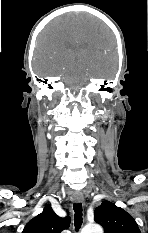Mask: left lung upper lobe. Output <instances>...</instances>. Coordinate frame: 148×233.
Here are the masks:
<instances>
[{"instance_id": "1", "label": "left lung upper lobe", "mask_w": 148, "mask_h": 233, "mask_svg": "<svg viewBox=\"0 0 148 233\" xmlns=\"http://www.w3.org/2000/svg\"><path fill=\"white\" fill-rule=\"evenodd\" d=\"M95 221L103 226L104 233H141L133 217L109 201L96 208Z\"/></svg>"}]
</instances>
